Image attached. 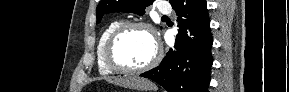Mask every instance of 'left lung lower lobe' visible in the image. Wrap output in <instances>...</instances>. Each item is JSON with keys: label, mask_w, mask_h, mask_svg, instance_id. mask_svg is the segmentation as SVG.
Segmentation results:
<instances>
[{"label": "left lung lower lobe", "mask_w": 289, "mask_h": 92, "mask_svg": "<svg viewBox=\"0 0 289 92\" xmlns=\"http://www.w3.org/2000/svg\"><path fill=\"white\" fill-rule=\"evenodd\" d=\"M179 32L160 65L140 76L168 92H208L213 43L205 0H174Z\"/></svg>", "instance_id": "1"}]
</instances>
